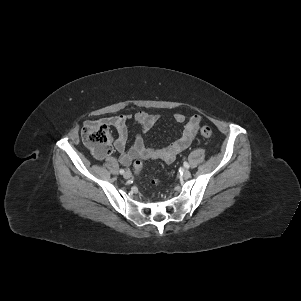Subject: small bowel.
Here are the masks:
<instances>
[{
  "mask_svg": "<svg viewBox=\"0 0 301 301\" xmlns=\"http://www.w3.org/2000/svg\"><path fill=\"white\" fill-rule=\"evenodd\" d=\"M173 117L176 123L183 124L182 133L179 138L161 148L146 145L141 135H138L133 145L127 148L128 116L116 115L104 119V123L117 130L118 136L114 142V147L119 154V162L124 166H130L135 159L139 158L157 159L166 163L174 161L176 156L192 143L201 122V117L199 115H193L186 118L181 113H175ZM158 119L159 116L157 114H151L145 111H139L134 116V120L141 127L142 132L150 130Z\"/></svg>",
  "mask_w": 301,
  "mask_h": 301,
  "instance_id": "obj_1",
  "label": "small bowel"
}]
</instances>
